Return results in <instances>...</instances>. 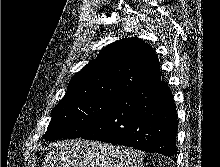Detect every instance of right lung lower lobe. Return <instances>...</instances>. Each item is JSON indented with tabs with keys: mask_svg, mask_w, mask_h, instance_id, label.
<instances>
[{
	"mask_svg": "<svg viewBox=\"0 0 220 167\" xmlns=\"http://www.w3.org/2000/svg\"><path fill=\"white\" fill-rule=\"evenodd\" d=\"M177 128L171 90L158 80L116 96L102 119L81 138L160 153L176 161Z\"/></svg>",
	"mask_w": 220,
	"mask_h": 167,
	"instance_id": "right-lung-lower-lobe-1",
	"label": "right lung lower lobe"
}]
</instances>
